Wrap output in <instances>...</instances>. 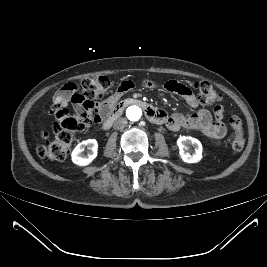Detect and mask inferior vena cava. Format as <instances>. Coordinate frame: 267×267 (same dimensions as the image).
<instances>
[{
  "label": "inferior vena cava",
  "instance_id": "obj_1",
  "mask_svg": "<svg viewBox=\"0 0 267 267\" xmlns=\"http://www.w3.org/2000/svg\"><path fill=\"white\" fill-rule=\"evenodd\" d=\"M127 125V119L125 118H118L114 121L113 128L115 130L123 129Z\"/></svg>",
  "mask_w": 267,
  "mask_h": 267
}]
</instances>
